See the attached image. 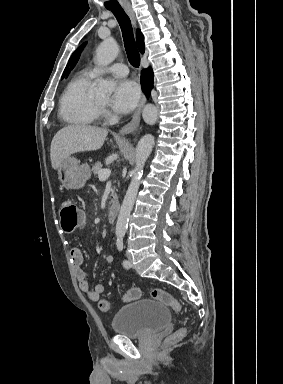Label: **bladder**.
<instances>
[{"label": "bladder", "instance_id": "bladder-1", "mask_svg": "<svg viewBox=\"0 0 283 384\" xmlns=\"http://www.w3.org/2000/svg\"><path fill=\"white\" fill-rule=\"evenodd\" d=\"M170 321L165 304L150 299H135L115 312L114 334L127 338H142L164 328Z\"/></svg>", "mask_w": 283, "mask_h": 384}]
</instances>
